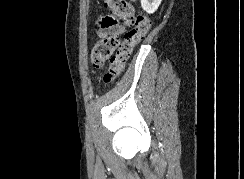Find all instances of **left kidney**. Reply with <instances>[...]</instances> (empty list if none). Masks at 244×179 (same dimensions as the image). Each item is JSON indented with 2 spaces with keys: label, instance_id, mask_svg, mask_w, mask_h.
<instances>
[{
  "label": "left kidney",
  "instance_id": "5707ae66",
  "mask_svg": "<svg viewBox=\"0 0 244 179\" xmlns=\"http://www.w3.org/2000/svg\"><path fill=\"white\" fill-rule=\"evenodd\" d=\"M161 2L162 0H141V6L147 14H154Z\"/></svg>",
  "mask_w": 244,
  "mask_h": 179
}]
</instances>
